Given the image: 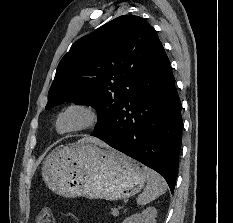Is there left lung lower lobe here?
<instances>
[{
  "label": "left lung lower lobe",
  "mask_w": 233,
  "mask_h": 223,
  "mask_svg": "<svg viewBox=\"0 0 233 223\" xmlns=\"http://www.w3.org/2000/svg\"><path fill=\"white\" fill-rule=\"evenodd\" d=\"M91 135L157 171L173 193L182 142L181 103L161 42L115 118Z\"/></svg>",
  "instance_id": "0a47b994"
}]
</instances>
